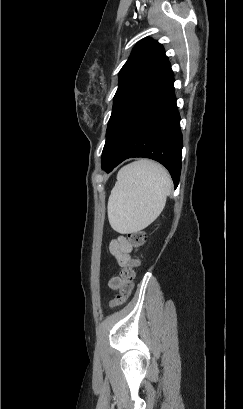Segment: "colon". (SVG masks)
<instances>
[{
  "instance_id": "1",
  "label": "colon",
  "mask_w": 243,
  "mask_h": 409,
  "mask_svg": "<svg viewBox=\"0 0 243 409\" xmlns=\"http://www.w3.org/2000/svg\"><path fill=\"white\" fill-rule=\"evenodd\" d=\"M127 237L130 244L135 249H139L147 240V234L143 230L130 231L128 232ZM138 266L139 260L132 259L122 269L119 284L120 293L111 301L110 308L121 306L127 301L133 289L135 268H137Z\"/></svg>"
}]
</instances>
